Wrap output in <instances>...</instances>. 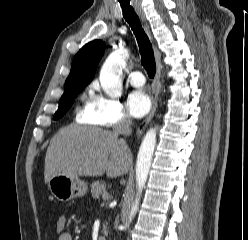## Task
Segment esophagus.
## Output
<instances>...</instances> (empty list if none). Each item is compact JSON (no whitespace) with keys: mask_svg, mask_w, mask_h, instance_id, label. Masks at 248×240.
Instances as JSON below:
<instances>
[{"mask_svg":"<svg viewBox=\"0 0 248 240\" xmlns=\"http://www.w3.org/2000/svg\"><path fill=\"white\" fill-rule=\"evenodd\" d=\"M134 8L142 20V23H143V26H144L146 33L148 34L149 38L151 40H153L150 26H149V24L145 18V15H144L141 7L137 4H135ZM154 54H155V61H156V74H155V77H154V80L152 83V109H151V112L149 113V115L147 116V118L139 125V127L137 129V136L138 137L142 135L146 126L149 124V122L153 118V116L156 112L157 106H158V96H159L160 88H161V83H160L161 53L158 50V48L156 47V45H154Z\"/></svg>","mask_w":248,"mask_h":240,"instance_id":"esophagus-1","label":"esophagus"}]
</instances>
